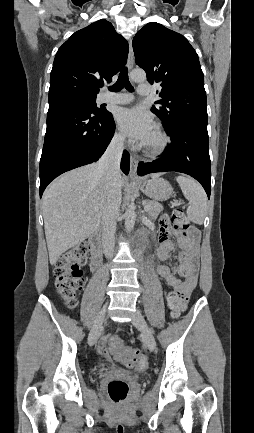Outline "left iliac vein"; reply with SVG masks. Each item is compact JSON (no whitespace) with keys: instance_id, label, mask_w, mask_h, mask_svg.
Wrapping results in <instances>:
<instances>
[{"instance_id":"4c4485c4","label":"left iliac vein","mask_w":254,"mask_h":433,"mask_svg":"<svg viewBox=\"0 0 254 433\" xmlns=\"http://www.w3.org/2000/svg\"><path fill=\"white\" fill-rule=\"evenodd\" d=\"M132 323L136 328H138L142 332L147 347L151 351H154L156 349L155 338L153 336L151 329L149 328L147 322L145 321L143 315L139 310L135 311L132 318Z\"/></svg>"}]
</instances>
